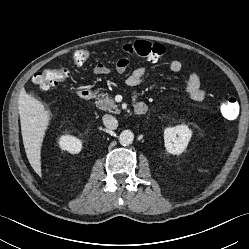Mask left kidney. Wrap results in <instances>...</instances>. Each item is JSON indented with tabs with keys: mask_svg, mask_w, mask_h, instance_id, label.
<instances>
[{
	"mask_svg": "<svg viewBox=\"0 0 249 249\" xmlns=\"http://www.w3.org/2000/svg\"><path fill=\"white\" fill-rule=\"evenodd\" d=\"M192 131L186 125L169 127L164 130L166 150L171 154H181L187 147Z\"/></svg>",
	"mask_w": 249,
	"mask_h": 249,
	"instance_id": "obj_1",
	"label": "left kidney"
}]
</instances>
